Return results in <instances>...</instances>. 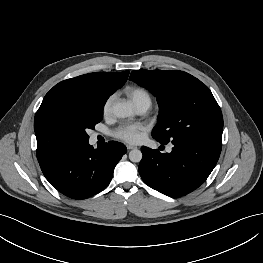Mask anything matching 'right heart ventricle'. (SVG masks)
<instances>
[{
  "instance_id": "1",
  "label": "right heart ventricle",
  "mask_w": 263,
  "mask_h": 263,
  "mask_svg": "<svg viewBox=\"0 0 263 263\" xmlns=\"http://www.w3.org/2000/svg\"><path fill=\"white\" fill-rule=\"evenodd\" d=\"M124 93L133 102L136 108L139 107H150L152 103V97L148 90L139 86H127L124 89Z\"/></svg>"
}]
</instances>
